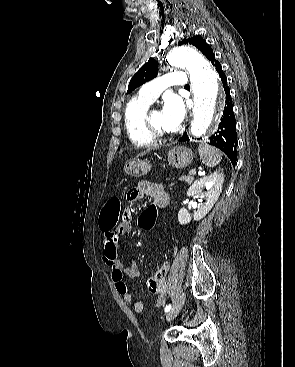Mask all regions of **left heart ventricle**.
Masks as SVG:
<instances>
[{
    "instance_id": "1",
    "label": "left heart ventricle",
    "mask_w": 295,
    "mask_h": 367,
    "mask_svg": "<svg viewBox=\"0 0 295 367\" xmlns=\"http://www.w3.org/2000/svg\"><path fill=\"white\" fill-rule=\"evenodd\" d=\"M152 121L154 125L161 130L162 132L169 133L170 131L165 127L163 122V116L161 110H153L152 114Z\"/></svg>"
}]
</instances>
